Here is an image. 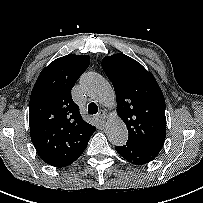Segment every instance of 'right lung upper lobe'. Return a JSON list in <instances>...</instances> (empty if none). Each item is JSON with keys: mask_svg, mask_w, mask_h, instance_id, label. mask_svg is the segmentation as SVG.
Here are the masks:
<instances>
[{"mask_svg": "<svg viewBox=\"0 0 203 203\" xmlns=\"http://www.w3.org/2000/svg\"><path fill=\"white\" fill-rule=\"evenodd\" d=\"M87 55L74 54L51 62L40 73L31 93L29 124L32 143L41 159L65 167L84 152L95 126L86 123L71 90L88 68Z\"/></svg>", "mask_w": 203, "mask_h": 203, "instance_id": "right-lung-upper-lobe-1", "label": "right lung upper lobe"}]
</instances>
